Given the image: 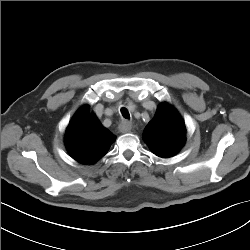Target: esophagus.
Instances as JSON below:
<instances>
[{"instance_id":"obj_1","label":"esophagus","mask_w":250,"mask_h":250,"mask_svg":"<svg viewBox=\"0 0 250 250\" xmlns=\"http://www.w3.org/2000/svg\"><path fill=\"white\" fill-rule=\"evenodd\" d=\"M119 130L121 133H129L132 130V123L130 121L127 120H123L120 124H119Z\"/></svg>"}]
</instances>
